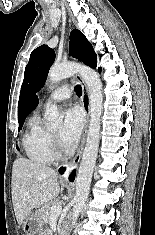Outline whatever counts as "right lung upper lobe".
<instances>
[{
    "label": "right lung upper lobe",
    "mask_w": 155,
    "mask_h": 235,
    "mask_svg": "<svg viewBox=\"0 0 155 235\" xmlns=\"http://www.w3.org/2000/svg\"><path fill=\"white\" fill-rule=\"evenodd\" d=\"M38 105V98L36 95H33L25 105L24 109L20 110L18 108V121L23 120L27 117V115L35 109V107Z\"/></svg>",
    "instance_id": "1"
}]
</instances>
